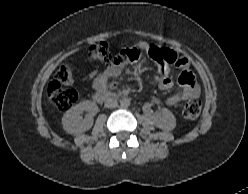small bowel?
<instances>
[{
	"mask_svg": "<svg viewBox=\"0 0 248 194\" xmlns=\"http://www.w3.org/2000/svg\"><path fill=\"white\" fill-rule=\"evenodd\" d=\"M158 47L156 45H150L146 42L137 43L132 50L120 51L113 62L101 73L96 75L93 85L97 91H107L114 87L118 82L125 61L131 51L147 50L149 52L151 47ZM169 64L166 63L160 65V75L156 77V82L161 90L167 91L173 87V81L169 77ZM176 66L181 69V73L178 77L179 91L170 96L167 100V104L174 106L179 102L186 101L192 98H198L200 94L199 87L195 81V75L190 67L187 59L179 56L175 53V60L173 62ZM158 100L153 99L150 103L151 106H157Z\"/></svg>",
	"mask_w": 248,
	"mask_h": 194,
	"instance_id": "c3829d8e",
	"label": "small bowel"
}]
</instances>
